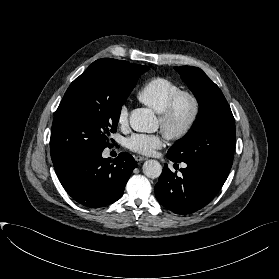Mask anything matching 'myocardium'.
<instances>
[{"instance_id": "1", "label": "myocardium", "mask_w": 279, "mask_h": 279, "mask_svg": "<svg viewBox=\"0 0 279 279\" xmlns=\"http://www.w3.org/2000/svg\"><path fill=\"white\" fill-rule=\"evenodd\" d=\"M186 99L191 104V113L187 121L176 127L174 125V116L177 105ZM201 115V102L199 98L191 91L180 90L175 93L168 101L163 112L160 113V126L165 136L170 140H180L186 137L196 126Z\"/></svg>"}]
</instances>
